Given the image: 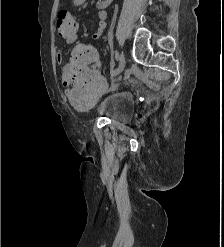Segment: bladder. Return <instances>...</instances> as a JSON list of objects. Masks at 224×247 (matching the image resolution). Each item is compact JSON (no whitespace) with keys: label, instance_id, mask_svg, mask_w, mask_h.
Listing matches in <instances>:
<instances>
[{"label":"bladder","instance_id":"31cf9c89","mask_svg":"<svg viewBox=\"0 0 224 247\" xmlns=\"http://www.w3.org/2000/svg\"><path fill=\"white\" fill-rule=\"evenodd\" d=\"M99 117L121 123H129L135 116V100L133 94L126 90H114L107 93L94 109Z\"/></svg>","mask_w":224,"mask_h":247}]
</instances>
